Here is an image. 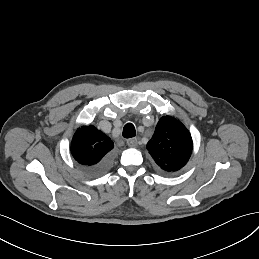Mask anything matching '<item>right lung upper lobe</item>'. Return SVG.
I'll return each instance as SVG.
<instances>
[{"label": "right lung upper lobe", "mask_w": 259, "mask_h": 259, "mask_svg": "<svg viewBox=\"0 0 259 259\" xmlns=\"http://www.w3.org/2000/svg\"><path fill=\"white\" fill-rule=\"evenodd\" d=\"M113 147V141L106 134L89 125L77 129L70 149L78 163L91 166L105 158Z\"/></svg>", "instance_id": "cb5924a9"}]
</instances>
